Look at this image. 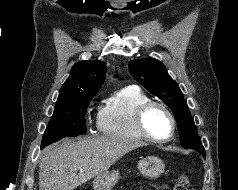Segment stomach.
I'll list each match as a JSON object with an SVG mask.
<instances>
[{
    "instance_id": "0dacf381",
    "label": "stomach",
    "mask_w": 238,
    "mask_h": 190,
    "mask_svg": "<svg viewBox=\"0 0 238 190\" xmlns=\"http://www.w3.org/2000/svg\"><path fill=\"white\" fill-rule=\"evenodd\" d=\"M165 169L163 161L154 156H149L141 159L138 163V170L147 178H158ZM120 179L118 170L105 172L97 176L93 181L94 190H111Z\"/></svg>"
}]
</instances>
